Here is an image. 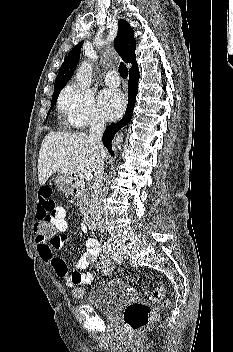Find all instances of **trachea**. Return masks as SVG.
<instances>
[{"mask_svg":"<svg viewBox=\"0 0 233 352\" xmlns=\"http://www.w3.org/2000/svg\"><path fill=\"white\" fill-rule=\"evenodd\" d=\"M119 73H120V76L124 79L127 78V76H128L127 67L125 66V64L123 62H121L119 65Z\"/></svg>","mask_w":233,"mask_h":352,"instance_id":"obj_1","label":"trachea"}]
</instances>
